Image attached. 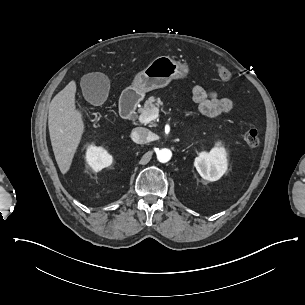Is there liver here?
<instances>
[{
	"mask_svg": "<svg viewBox=\"0 0 305 305\" xmlns=\"http://www.w3.org/2000/svg\"><path fill=\"white\" fill-rule=\"evenodd\" d=\"M75 81L69 82L49 104L48 127L56 162L62 174L70 169L84 124L75 108Z\"/></svg>",
	"mask_w": 305,
	"mask_h": 305,
	"instance_id": "1",
	"label": "liver"
}]
</instances>
